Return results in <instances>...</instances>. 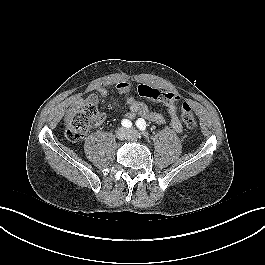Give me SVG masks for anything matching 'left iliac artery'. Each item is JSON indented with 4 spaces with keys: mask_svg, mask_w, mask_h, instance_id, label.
Segmentation results:
<instances>
[{
    "mask_svg": "<svg viewBox=\"0 0 265 265\" xmlns=\"http://www.w3.org/2000/svg\"><path fill=\"white\" fill-rule=\"evenodd\" d=\"M136 126L139 128V130H141L143 133L146 129V122L144 119L142 118H139L137 121H136ZM145 135V133H144ZM146 136V135H145Z\"/></svg>",
    "mask_w": 265,
    "mask_h": 265,
    "instance_id": "obj_1",
    "label": "left iliac artery"
}]
</instances>
